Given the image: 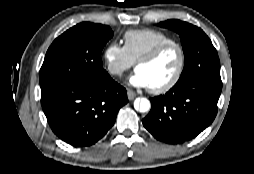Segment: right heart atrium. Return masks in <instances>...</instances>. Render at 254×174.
I'll use <instances>...</instances> for the list:
<instances>
[{
  "label": "right heart atrium",
  "instance_id": "right-heart-atrium-1",
  "mask_svg": "<svg viewBox=\"0 0 254 174\" xmlns=\"http://www.w3.org/2000/svg\"><path fill=\"white\" fill-rule=\"evenodd\" d=\"M103 60L109 74L118 77L134 65L125 47L115 41L106 45L103 51Z\"/></svg>",
  "mask_w": 254,
  "mask_h": 174
}]
</instances>
